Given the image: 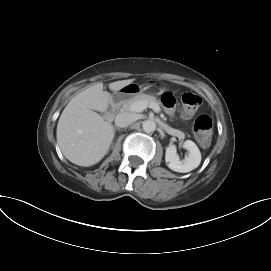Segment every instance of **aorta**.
Listing matches in <instances>:
<instances>
[{"instance_id": "aorta-1", "label": "aorta", "mask_w": 271, "mask_h": 271, "mask_svg": "<svg viewBox=\"0 0 271 271\" xmlns=\"http://www.w3.org/2000/svg\"><path fill=\"white\" fill-rule=\"evenodd\" d=\"M142 128L147 133L154 132L156 130V123L153 120H145L142 123Z\"/></svg>"}]
</instances>
